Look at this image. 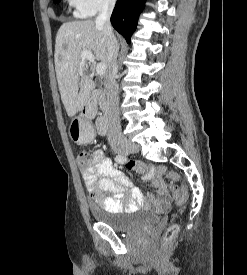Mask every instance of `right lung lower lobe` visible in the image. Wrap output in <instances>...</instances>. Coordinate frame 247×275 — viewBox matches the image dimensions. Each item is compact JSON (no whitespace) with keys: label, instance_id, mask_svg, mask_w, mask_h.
<instances>
[{"label":"right lung lower lobe","instance_id":"obj_1","mask_svg":"<svg viewBox=\"0 0 247 275\" xmlns=\"http://www.w3.org/2000/svg\"><path fill=\"white\" fill-rule=\"evenodd\" d=\"M145 0H118L111 16L113 27L130 43Z\"/></svg>","mask_w":247,"mask_h":275}]
</instances>
